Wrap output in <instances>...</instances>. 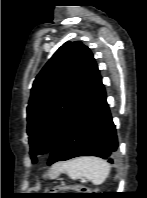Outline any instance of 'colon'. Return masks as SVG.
I'll use <instances>...</instances> for the list:
<instances>
[{
  "label": "colon",
  "mask_w": 147,
  "mask_h": 198,
  "mask_svg": "<svg viewBox=\"0 0 147 198\" xmlns=\"http://www.w3.org/2000/svg\"><path fill=\"white\" fill-rule=\"evenodd\" d=\"M60 189L73 190V191H76V192H84V191L87 190L86 188H83V187H73V186H66V187H63V188H60Z\"/></svg>",
  "instance_id": "1"
}]
</instances>
